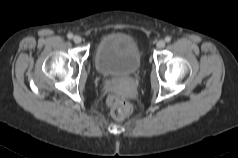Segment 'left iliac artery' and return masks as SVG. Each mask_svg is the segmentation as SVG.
<instances>
[{
	"label": "left iliac artery",
	"mask_w": 238,
	"mask_h": 158,
	"mask_svg": "<svg viewBox=\"0 0 238 158\" xmlns=\"http://www.w3.org/2000/svg\"><path fill=\"white\" fill-rule=\"evenodd\" d=\"M165 41H166V42H170V41H171V37H170V36H167V37L165 38Z\"/></svg>",
	"instance_id": "obj_1"
}]
</instances>
